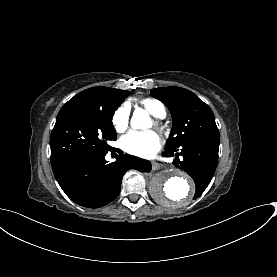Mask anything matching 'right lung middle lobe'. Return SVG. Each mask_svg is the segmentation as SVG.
Wrapping results in <instances>:
<instances>
[{
  "mask_svg": "<svg viewBox=\"0 0 277 277\" xmlns=\"http://www.w3.org/2000/svg\"><path fill=\"white\" fill-rule=\"evenodd\" d=\"M129 94V91L124 93L121 103ZM117 108L86 99H70L64 104L51 132V164L110 149L107 141L117 138L112 124Z\"/></svg>",
  "mask_w": 277,
  "mask_h": 277,
  "instance_id": "obj_1",
  "label": "right lung middle lobe"
}]
</instances>
